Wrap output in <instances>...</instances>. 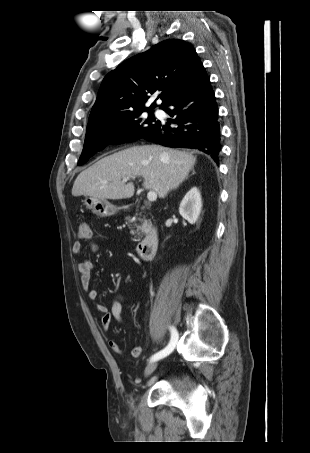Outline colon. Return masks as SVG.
<instances>
[{
  "instance_id": "1",
  "label": "colon",
  "mask_w": 310,
  "mask_h": 453,
  "mask_svg": "<svg viewBox=\"0 0 310 453\" xmlns=\"http://www.w3.org/2000/svg\"><path fill=\"white\" fill-rule=\"evenodd\" d=\"M78 235L82 239H87L91 236V229L87 222H81L78 227Z\"/></svg>"
}]
</instances>
